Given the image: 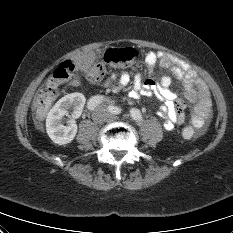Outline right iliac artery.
Listing matches in <instances>:
<instances>
[{"label": "right iliac artery", "mask_w": 233, "mask_h": 233, "mask_svg": "<svg viewBox=\"0 0 233 233\" xmlns=\"http://www.w3.org/2000/svg\"><path fill=\"white\" fill-rule=\"evenodd\" d=\"M106 98L104 96H93L92 98L89 99L87 102V108L92 111L94 110L99 104H101L103 101H105Z\"/></svg>", "instance_id": "1"}]
</instances>
